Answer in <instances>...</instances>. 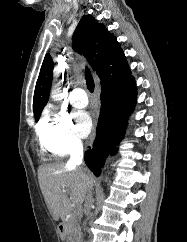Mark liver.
Wrapping results in <instances>:
<instances>
[{
	"label": "liver",
	"mask_w": 187,
	"mask_h": 242,
	"mask_svg": "<svg viewBox=\"0 0 187 242\" xmlns=\"http://www.w3.org/2000/svg\"><path fill=\"white\" fill-rule=\"evenodd\" d=\"M38 179L50 214L55 221L64 219L74 206L86 201L94 177L63 162L41 165Z\"/></svg>",
	"instance_id": "liver-1"
}]
</instances>
